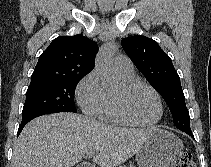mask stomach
<instances>
[{
	"label": "stomach",
	"instance_id": "1",
	"mask_svg": "<svg viewBox=\"0 0 211 167\" xmlns=\"http://www.w3.org/2000/svg\"><path fill=\"white\" fill-rule=\"evenodd\" d=\"M183 149V143L176 135L155 128L136 153L138 167H174Z\"/></svg>",
	"mask_w": 211,
	"mask_h": 167
}]
</instances>
